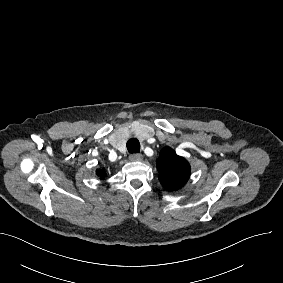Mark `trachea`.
Masks as SVG:
<instances>
[{"instance_id": "trachea-1", "label": "trachea", "mask_w": 283, "mask_h": 283, "mask_svg": "<svg viewBox=\"0 0 283 283\" xmlns=\"http://www.w3.org/2000/svg\"><path fill=\"white\" fill-rule=\"evenodd\" d=\"M126 146L130 154H136L140 152V143L136 138L129 139Z\"/></svg>"}]
</instances>
